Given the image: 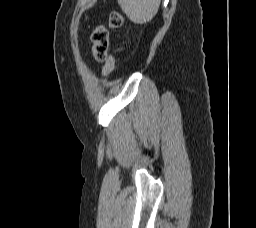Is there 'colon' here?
<instances>
[{"mask_svg": "<svg viewBox=\"0 0 256 228\" xmlns=\"http://www.w3.org/2000/svg\"><path fill=\"white\" fill-rule=\"evenodd\" d=\"M123 24V16L121 13L114 11L109 16V26L112 29H118ZM93 43L92 55L97 62H104L102 69V76L107 77L116 68V58L114 55H108L109 35L108 30L102 26H97L92 35Z\"/></svg>", "mask_w": 256, "mask_h": 228, "instance_id": "1", "label": "colon"}]
</instances>
